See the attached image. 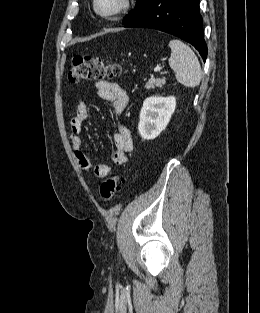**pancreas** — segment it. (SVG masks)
<instances>
[{
    "instance_id": "1",
    "label": "pancreas",
    "mask_w": 260,
    "mask_h": 313,
    "mask_svg": "<svg viewBox=\"0 0 260 313\" xmlns=\"http://www.w3.org/2000/svg\"><path fill=\"white\" fill-rule=\"evenodd\" d=\"M166 83V79L163 77L161 78H150L148 82L145 83L146 89H154L155 86L162 87Z\"/></svg>"
}]
</instances>
